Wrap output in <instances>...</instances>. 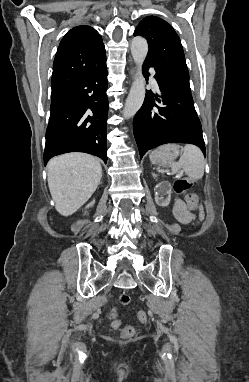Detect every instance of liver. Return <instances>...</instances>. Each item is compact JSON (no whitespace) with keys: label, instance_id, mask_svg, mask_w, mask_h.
<instances>
[{"label":"liver","instance_id":"obj_1","mask_svg":"<svg viewBox=\"0 0 249 382\" xmlns=\"http://www.w3.org/2000/svg\"><path fill=\"white\" fill-rule=\"evenodd\" d=\"M101 177L100 162L91 155L67 153L52 158L47 164V179L58 213H75L90 199Z\"/></svg>","mask_w":249,"mask_h":382}]
</instances>
